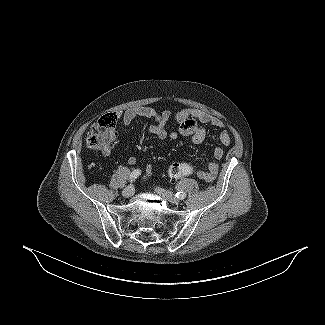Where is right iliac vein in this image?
I'll return each instance as SVG.
<instances>
[{
  "mask_svg": "<svg viewBox=\"0 0 325 325\" xmlns=\"http://www.w3.org/2000/svg\"><path fill=\"white\" fill-rule=\"evenodd\" d=\"M134 192H135L134 186L129 185L122 191V195L125 198H129V197L133 196Z\"/></svg>",
  "mask_w": 325,
  "mask_h": 325,
  "instance_id": "right-iliac-vein-1",
  "label": "right iliac vein"
}]
</instances>
